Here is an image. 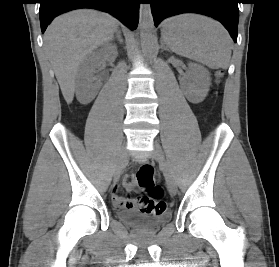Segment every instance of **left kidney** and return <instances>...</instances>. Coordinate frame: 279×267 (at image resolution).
I'll return each mask as SVG.
<instances>
[{"mask_svg":"<svg viewBox=\"0 0 279 267\" xmlns=\"http://www.w3.org/2000/svg\"><path fill=\"white\" fill-rule=\"evenodd\" d=\"M187 83H182V89L189 102L201 103L207 96L211 77L209 71L196 63L189 64V71L186 74Z\"/></svg>","mask_w":279,"mask_h":267,"instance_id":"left-kidney-1","label":"left kidney"}]
</instances>
